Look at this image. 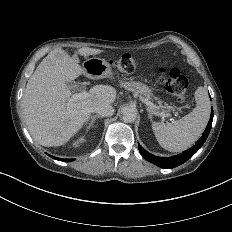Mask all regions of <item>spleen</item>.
Masks as SVG:
<instances>
[{"label": "spleen", "mask_w": 232, "mask_h": 232, "mask_svg": "<svg viewBox=\"0 0 232 232\" xmlns=\"http://www.w3.org/2000/svg\"><path fill=\"white\" fill-rule=\"evenodd\" d=\"M197 107L179 120L168 124L152 122L151 128L159 145L169 151H182L191 147L201 136L210 116V101L206 89L195 91Z\"/></svg>", "instance_id": "obj_1"}]
</instances>
